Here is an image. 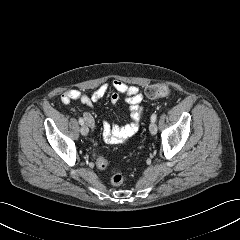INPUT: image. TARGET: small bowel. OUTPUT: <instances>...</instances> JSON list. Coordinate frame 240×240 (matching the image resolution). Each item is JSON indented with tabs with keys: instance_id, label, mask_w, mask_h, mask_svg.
Segmentation results:
<instances>
[{
	"instance_id": "c3829d8e",
	"label": "small bowel",
	"mask_w": 240,
	"mask_h": 240,
	"mask_svg": "<svg viewBox=\"0 0 240 240\" xmlns=\"http://www.w3.org/2000/svg\"><path fill=\"white\" fill-rule=\"evenodd\" d=\"M108 94L113 105L119 103L120 95L125 96V102L128 104L130 121L127 124L120 126L104 122L102 126L103 140L106 143L119 144L131 138L139 129L143 110V95L139 87L116 79L111 84L101 85L91 95H85L77 89H70L61 96V101L63 104H69L73 100H78L84 105L91 107L95 102ZM83 118L88 127L93 130L95 128V120L92 114L84 112Z\"/></svg>"
}]
</instances>
